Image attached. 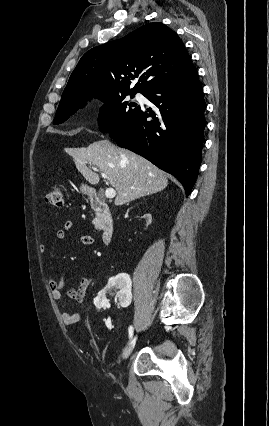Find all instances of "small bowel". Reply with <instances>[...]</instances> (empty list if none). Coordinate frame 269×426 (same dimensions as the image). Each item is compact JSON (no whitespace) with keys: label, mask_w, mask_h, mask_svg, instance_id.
<instances>
[{"label":"small bowel","mask_w":269,"mask_h":426,"mask_svg":"<svg viewBox=\"0 0 269 426\" xmlns=\"http://www.w3.org/2000/svg\"><path fill=\"white\" fill-rule=\"evenodd\" d=\"M73 230V223L71 221H66L63 224L62 229L58 230L56 233V238L58 240H63L69 232ZM77 241L88 246H92L95 243V239L91 235H78L76 237ZM42 252L46 251V247L42 245L40 247ZM93 278L90 275L83 276L79 279L77 286L64 291L67 283V274H63L59 279L55 277H49L47 279V284L50 289L51 295L55 302L57 303L62 319L66 324H74L80 319V314L76 311H71L66 304L63 302L64 296L69 299L82 302L87 297L88 291L92 285Z\"/></svg>","instance_id":"small-bowel-1"}]
</instances>
